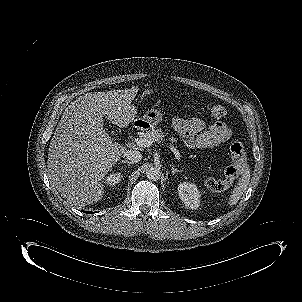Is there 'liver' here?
Segmentation results:
<instances>
[{
	"label": "liver",
	"mask_w": 302,
	"mask_h": 302,
	"mask_svg": "<svg viewBox=\"0 0 302 302\" xmlns=\"http://www.w3.org/2000/svg\"><path fill=\"white\" fill-rule=\"evenodd\" d=\"M131 89L86 93L64 111L48 152L50 178L69 203L86 206L102 199V180L117 163L125 146L103 129L104 117L128 126L136 110Z\"/></svg>",
	"instance_id": "obj_1"
}]
</instances>
